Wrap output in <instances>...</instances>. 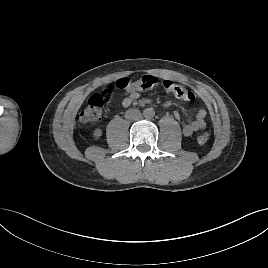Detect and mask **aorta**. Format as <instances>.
<instances>
[{
    "label": "aorta",
    "mask_w": 268,
    "mask_h": 268,
    "mask_svg": "<svg viewBox=\"0 0 268 268\" xmlns=\"http://www.w3.org/2000/svg\"><path fill=\"white\" fill-rule=\"evenodd\" d=\"M143 115L145 118L147 119H151L154 117L155 115V111L153 110V108H146L144 111H143Z\"/></svg>",
    "instance_id": "762f6f07"
}]
</instances>
